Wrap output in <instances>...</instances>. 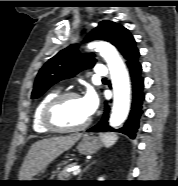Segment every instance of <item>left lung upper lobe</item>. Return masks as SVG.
Here are the masks:
<instances>
[{
  "mask_svg": "<svg viewBox=\"0 0 178 186\" xmlns=\"http://www.w3.org/2000/svg\"><path fill=\"white\" fill-rule=\"evenodd\" d=\"M105 40L113 44L123 55L126 62L139 54L136 42L129 31L112 21L104 20L93 29L85 41ZM78 45L73 44L59 51L49 59L38 72L35 80L32 99L40 97L47 89L60 80L76 75L82 69L92 68L96 62L94 54L82 55L77 50Z\"/></svg>",
  "mask_w": 178,
  "mask_h": 186,
  "instance_id": "obj_1",
  "label": "left lung upper lobe"
}]
</instances>
